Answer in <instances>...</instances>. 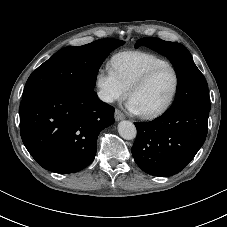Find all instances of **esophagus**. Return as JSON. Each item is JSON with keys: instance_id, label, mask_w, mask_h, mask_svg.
Listing matches in <instances>:
<instances>
[{"instance_id": "34e87169", "label": "esophagus", "mask_w": 227, "mask_h": 227, "mask_svg": "<svg viewBox=\"0 0 227 227\" xmlns=\"http://www.w3.org/2000/svg\"><path fill=\"white\" fill-rule=\"evenodd\" d=\"M115 120L116 121H120V120H123L125 118V115L118 109L115 110Z\"/></svg>"}]
</instances>
